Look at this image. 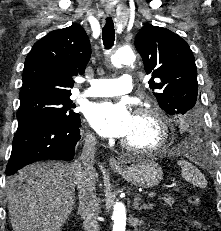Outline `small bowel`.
Returning <instances> with one entry per match:
<instances>
[{"label":"small bowel","instance_id":"1","mask_svg":"<svg viewBox=\"0 0 221 231\" xmlns=\"http://www.w3.org/2000/svg\"><path fill=\"white\" fill-rule=\"evenodd\" d=\"M190 224L196 229H201L203 227L202 222H200L199 220H196V219H191Z\"/></svg>","mask_w":221,"mask_h":231}]
</instances>
